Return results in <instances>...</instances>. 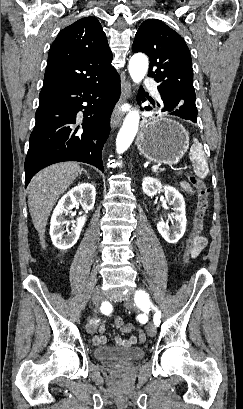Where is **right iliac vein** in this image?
<instances>
[{"label": "right iliac vein", "instance_id": "1", "mask_svg": "<svg viewBox=\"0 0 243 409\" xmlns=\"http://www.w3.org/2000/svg\"><path fill=\"white\" fill-rule=\"evenodd\" d=\"M101 297H102V291H101L100 287H96L94 289L93 295H92V300H93V303L95 305L94 317L92 319V322H90L89 324L86 325V331L89 334H93L95 329H96V323L94 322V320H96V318H97L96 313H97V309L99 307V302L101 300Z\"/></svg>", "mask_w": 243, "mask_h": 409}]
</instances>
